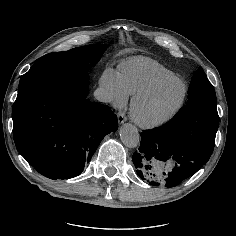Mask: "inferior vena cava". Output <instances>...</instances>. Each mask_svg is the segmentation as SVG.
<instances>
[{"label": "inferior vena cava", "mask_w": 236, "mask_h": 236, "mask_svg": "<svg viewBox=\"0 0 236 236\" xmlns=\"http://www.w3.org/2000/svg\"><path fill=\"white\" fill-rule=\"evenodd\" d=\"M94 97L100 102H110L112 100V94L107 87H98L94 91Z\"/></svg>", "instance_id": "602c4592"}]
</instances>
